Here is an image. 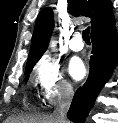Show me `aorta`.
I'll return each instance as SVG.
<instances>
[{
	"mask_svg": "<svg viewBox=\"0 0 118 123\" xmlns=\"http://www.w3.org/2000/svg\"><path fill=\"white\" fill-rule=\"evenodd\" d=\"M50 46H51L52 48H55L56 42H55V41H51Z\"/></svg>",
	"mask_w": 118,
	"mask_h": 123,
	"instance_id": "762f6f07",
	"label": "aorta"
}]
</instances>
